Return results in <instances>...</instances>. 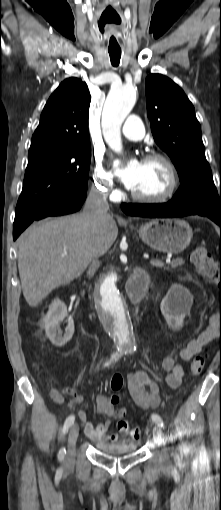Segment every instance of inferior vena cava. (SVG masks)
<instances>
[{
  "mask_svg": "<svg viewBox=\"0 0 221 510\" xmlns=\"http://www.w3.org/2000/svg\"><path fill=\"white\" fill-rule=\"evenodd\" d=\"M108 193L106 191H101L97 188H92L89 192V195L85 202L84 211L89 213L91 221L96 226H101L105 223L110 215L109 204L107 202ZM100 263L98 258L93 257L90 263V267L88 269V276L92 277L94 273L99 268Z\"/></svg>",
  "mask_w": 221,
  "mask_h": 510,
  "instance_id": "obj_1",
  "label": "inferior vena cava"
}]
</instances>
